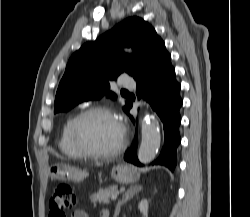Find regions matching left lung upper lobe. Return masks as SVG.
<instances>
[{"label":"left lung upper lobe","mask_w":250,"mask_h":217,"mask_svg":"<svg viewBox=\"0 0 250 217\" xmlns=\"http://www.w3.org/2000/svg\"><path fill=\"white\" fill-rule=\"evenodd\" d=\"M162 39L154 28L139 17H130L95 41L85 43L68 61L59 83L54 113L67 111L77 104L103 96L116 98L110 82L123 72L133 78L151 62ZM134 49L125 54L123 47ZM130 102L126 101V111Z\"/></svg>","instance_id":"left-lung-upper-lobe-1"}]
</instances>
